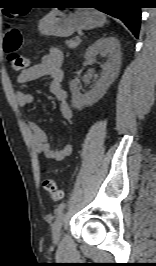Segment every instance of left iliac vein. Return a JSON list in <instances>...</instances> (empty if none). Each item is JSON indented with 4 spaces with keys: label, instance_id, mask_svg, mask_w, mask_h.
Masks as SVG:
<instances>
[{
    "label": "left iliac vein",
    "instance_id": "left-iliac-vein-1",
    "mask_svg": "<svg viewBox=\"0 0 156 266\" xmlns=\"http://www.w3.org/2000/svg\"><path fill=\"white\" fill-rule=\"evenodd\" d=\"M65 221V214L61 212L58 214L55 222L52 225V235L54 243H58L61 238V228Z\"/></svg>",
    "mask_w": 156,
    "mask_h": 266
}]
</instances>
